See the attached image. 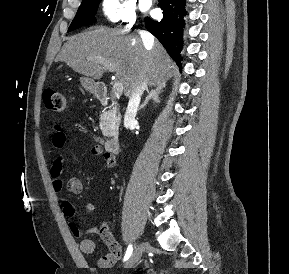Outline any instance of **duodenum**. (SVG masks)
Masks as SVG:
<instances>
[{
	"mask_svg": "<svg viewBox=\"0 0 289 274\" xmlns=\"http://www.w3.org/2000/svg\"><path fill=\"white\" fill-rule=\"evenodd\" d=\"M95 95L96 97L102 101L103 103H109L110 102V93L105 84H98L95 87ZM105 148L106 150L111 154H117L120 149L119 140L117 137H111L106 140L105 142Z\"/></svg>",
	"mask_w": 289,
	"mask_h": 274,
	"instance_id": "410a0bca",
	"label": "duodenum"
}]
</instances>
